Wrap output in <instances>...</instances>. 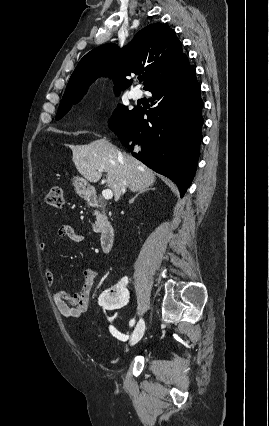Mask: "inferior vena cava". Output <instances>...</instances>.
Returning a JSON list of instances; mask_svg holds the SVG:
<instances>
[{
	"label": "inferior vena cava",
	"mask_w": 269,
	"mask_h": 426,
	"mask_svg": "<svg viewBox=\"0 0 269 426\" xmlns=\"http://www.w3.org/2000/svg\"><path fill=\"white\" fill-rule=\"evenodd\" d=\"M126 186H127V183H126V181H125V180H123L122 189H121V194H124V193L126 192Z\"/></svg>",
	"instance_id": "1"
}]
</instances>
